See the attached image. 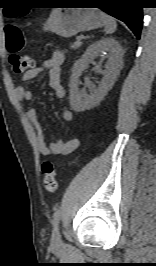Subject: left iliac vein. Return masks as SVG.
Segmentation results:
<instances>
[{"instance_id":"obj_1","label":"left iliac vein","mask_w":156,"mask_h":266,"mask_svg":"<svg viewBox=\"0 0 156 266\" xmlns=\"http://www.w3.org/2000/svg\"><path fill=\"white\" fill-rule=\"evenodd\" d=\"M51 244L55 247H59L62 244V239L58 225H55L53 228Z\"/></svg>"}]
</instances>
